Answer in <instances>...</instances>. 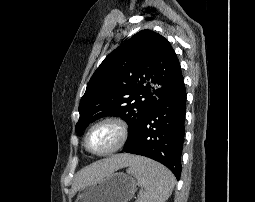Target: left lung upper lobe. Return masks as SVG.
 <instances>
[{
    "label": "left lung upper lobe",
    "instance_id": "left-lung-upper-lobe-1",
    "mask_svg": "<svg viewBox=\"0 0 255 202\" xmlns=\"http://www.w3.org/2000/svg\"><path fill=\"white\" fill-rule=\"evenodd\" d=\"M182 82L170 43L142 30L112 51L94 72L79 104L75 130L80 135L98 118L120 116L130 127L127 145L158 100Z\"/></svg>",
    "mask_w": 255,
    "mask_h": 202
}]
</instances>
